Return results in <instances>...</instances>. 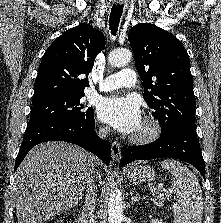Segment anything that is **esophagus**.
Masks as SVG:
<instances>
[{"label":"esophagus","mask_w":221,"mask_h":223,"mask_svg":"<svg viewBox=\"0 0 221 223\" xmlns=\"http://www.w3.org/2000/svg\"><path fill=\"white\" fill-rule=\"evenodd\" d=\"M114 3L121 4L122 0H114ZM111 156L114 162H119V160L121 159V145L117 141L112 142Z\"/></svg>","instance_id":"obj_1"}]
</instances>
